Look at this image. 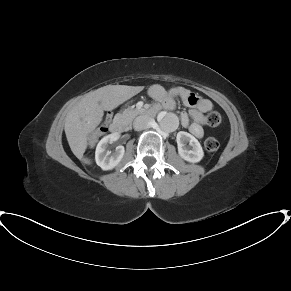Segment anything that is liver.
Wrapping results in <instances>:
<instances>
[{
	"label": "liver",
	"instance_id": "obj_1",
	"mask_svg": "<svg viewBox=\"0 0 291 291\" xmlns=\"http://www.w3.org/2000/svg\"><path fill=\"white\" fill-rule=\"evenodd\" d=\"M140 86L107 85L86 94L65 118V134L73 154L84 164L91 160L84 157L87 136L102 121L104 110H112L142 91Z\"/></svg>",
	"mask_w": 291,
	"mask_h": 291
}]
</instances>
